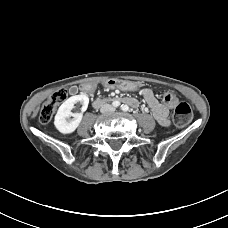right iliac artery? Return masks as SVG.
I'll return each mask as SVG.
<instances>
[{
  "label": "right iliac artery",
  "instance_id": "obj_1",
  "mask_svg": "<svg viewBox=\"0 0 228 228\" xmlns=\"http://www.w3.org/2000/svg\"><path fill=\"white\" fill-rule=\"evenodd\" d=\"M112 105H113L114 107H118V106L120 105V102H119V101H114V102L112 103Z\"/></svg>",
  "mask_w": 228,
  "mask_h": 228
}]
</instances>
